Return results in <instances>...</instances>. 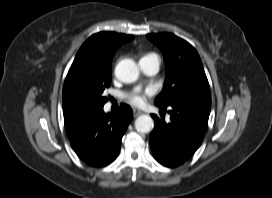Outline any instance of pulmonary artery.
<instances>
[{"label": "pulmonary artery", "mask_w": 272, "mask_h": 198, "mask_svg": "<svg viewBox=\"0 0 272 198\" xmlns=\"http://www.w3.org/2000/svg\"><path fill=\"white\" fill-rule=\"evenodd\" d=\"M139 66L144 74L153 76L159 71L160 61L155 55L144 57L139 60Z\"/></svg>", "instance_id": "e3ab8cb5"}]
</instances>
